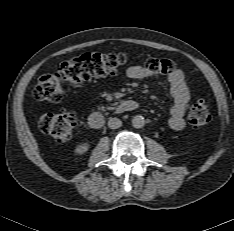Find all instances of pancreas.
I'll return each instance as SVG.
<instances>
[{
  "label": "pancreas",
  "mask_w": 234,
  "mask_h": 231,
  "mask_svg": "<svg viewBox=\"0 0 234 231\" xmlns=\"http://www.w3.org/2000/svg\"><path fill=\"white\" fill-rule=\"evenodd\" d=\"M109 108V107H108ZM100 110H105L106 108L104 106L99 107Z\"/></svg>",
  "instance_id": "cf45deb5"
}]
</instances>
